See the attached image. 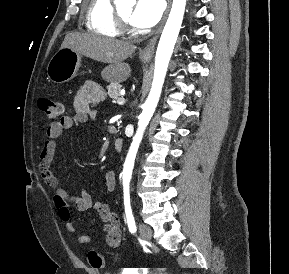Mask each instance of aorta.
<instances>
[{"label": "aorta", "mask_w": 289, "mask_h": 274, "mask_svg": "<svg viewBox=\"0 0 289 274\" xmlns=\"http://www.w3.org/2000/svg\"><path fill=\"white\" fill-rule=\"evenodd\" d=\"M118 2L126 0H117ZM186 0H173L172 8L163 29L155 57L154 77L150 93L143 105L142 113L139 117L138 129L133 138L132 144L128 151L124 168L123 183L128 184L131 179L134 167L135 157L143 137V133L153 116L157 107L163 83L165 80L168 64L182 25L185 12Z\"/></svg>", "instance_id": "762f6f07"}]
</instances>
